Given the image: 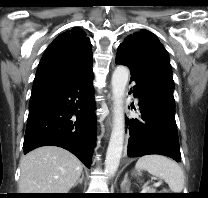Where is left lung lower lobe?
Returning a JSON list of instances; mask_svg holds the SVG:
<instances>
[{"mask_svg":"<svg viewBox=\"0 0 208 198\" xmlns=\"http://www.w3.org/2000/svg\"><path fill=\"white\" fill-rule=\"evenodd\" d=\"M116 63L126 65L131 72L134 96L139 98L140 119H127L129 125L128 155L141 157L160 154L179 162L181 159L175 121V103L158 90L135 65L129 54L118 48Z\"/></svg>","mask_w":208,"mask_h":198,"instance_id":"1","label":"left lung lower lobe"}]
</instances>
